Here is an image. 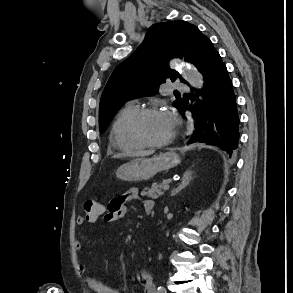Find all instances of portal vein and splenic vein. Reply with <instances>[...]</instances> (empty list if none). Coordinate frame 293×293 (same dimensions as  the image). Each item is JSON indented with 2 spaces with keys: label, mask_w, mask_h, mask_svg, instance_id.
<instances>
[{
  "label": "portal vein and splenic vein",
  "mask_w": 293,
  "mask_h": 293,
  "mask_svg": "<svg viewBox=\"0 0 293 293\" xmlns=\"http://www.w3.org/2000/svg\"><path fill=\"white\" fill-rule=\"evenodd\" d=\"M169 188H170V185L169 184H165L163 186V190H165V191L169 190Z\"/></svg>",
  "instance_id": "1"
}]
</instances>
